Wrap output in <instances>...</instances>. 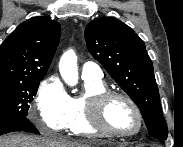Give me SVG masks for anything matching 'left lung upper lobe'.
Segmentation results:
<instances>
[{
  "instance_id": "1",
  "label": "left lung upper lobe",
  "mask_w": 183,
  "mask_h": 147,
  "mask_svg": "<svg viewBox=\"0 0 183 147\" xmlns=\"http://www.w3.org/2000/svg\"><path fill=\"white\" fill-rule=\"evenodd\" d=\"M89 52L140 108L149 134L167 139L153 64L143 40L126 24L104 17L85 29Z\"/></svg>"
}]
</instances>
